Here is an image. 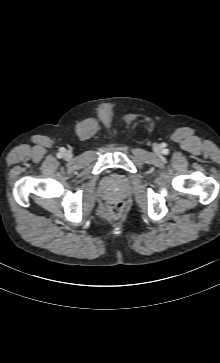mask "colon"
<instances>
[{
    "label": "colon",
    "instance_id": "colon-1",
    "mask_svg": "<svg viewBox=\"0 0 220 363\" xmlns=\"http://www.w3.org/2000/svg\"><path fill=\"white\" fill-rule=\"evenodd\" d=\"M124 202L121 200H111L106 204V213L112 218H119L124 212Z\"/></svg>",
    "mask_w": 220,
    "mask_h": 363
}]
</instances>
